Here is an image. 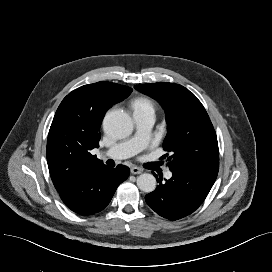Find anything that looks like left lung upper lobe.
Segmentation results:
<instances>
[{
  "instance_id": "5c2ea615",
  "label": "left lung upper lobe",
  "mask_w": 272,
  "mask_h": 272,
  "mask_svg": "<svg viewBox=\"0 0 272 272\" xmlns=\"http://www.w3.org/2000/svg\"><path fill=\"white\" fill-rule=\"evenodd\" d=\"M135 88L155 100L165 110L167 136L163 148L170 170H219V149L215 130L197 97L185 87L173 83L136 85ZM165 154L162 158H166Z\"/></svg>"
}]
</instances>
